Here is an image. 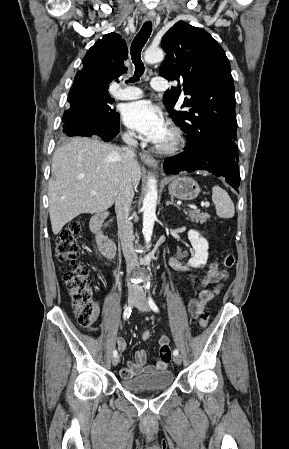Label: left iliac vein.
Returning a JSON list of instances; mask_svg holds the SVG:
<instances>
[{
	"instance_id": "obj_1",
	"label": "left iliac vein",
	"mask_w": 289,
	"mask_h": 449,
	"mask_svg": "<svg viewBox=\"0 0 289 449\" xmlns=\"http://www.w3.org/2000/svg\"><path fill=\"white\" fill-rule=\"evenodd\" d=\"M136 307L140 310V311H148L149 310V305L148 302L146 300V297L143 293H140L136 302ZM173 361L176 365H180L182 362V358L180 355H174L173 357Z\"/></svg>"
}]
</instances>
